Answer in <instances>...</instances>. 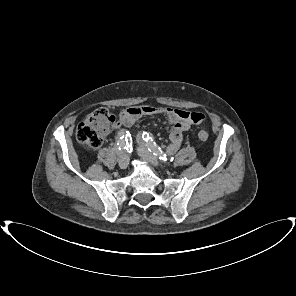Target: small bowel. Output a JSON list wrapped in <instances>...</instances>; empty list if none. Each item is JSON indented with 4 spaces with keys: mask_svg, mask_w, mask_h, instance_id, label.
<instances>
[{
    "mask_svg": "<svg viewBox=\"0 0 296 296\" xmlns=\"http://www.w3.org/2000/svg\"><path fill=\"white\" fill-rule=\"evenodd\" d=\"M195 112H189L177 108L154 107L150 105H141L130 107L120 114V124L123 127L132 126L142 116L164 115L173 124L169 135L170 144L168 150L175 152L179 149L184 133L193 124H198L191 119V115Z\"/></svg>",
    "mask_w": 296,
    "mask_h": 296,
    "instance_id": "1",
    "label": "small bowel"
}]
</instances>
